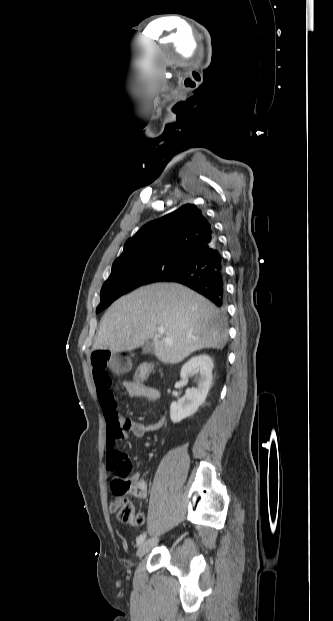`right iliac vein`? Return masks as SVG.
Here are the masks:
<instances>
[{
  "label": "right iliac vein",
  "instance_id": "1",
  "mask_svg": "<svg viewBox=\"0 0 333 621\" xmlns=\"http://www.w3.org/2000/svg\"><path fill=\"white\" fill-rule=\"evenodd\" d=\"M157 542H158V539L156 537L150 538V539L144 541L138 547L137 556L138 557H143L145 554H147L157 544Z\"/></svg>",
  "mask_w": 333,
  "mask_h": 621
}]
</instances>
